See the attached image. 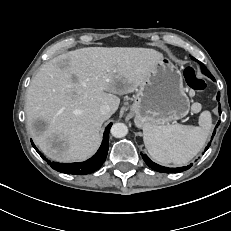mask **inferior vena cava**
I'll return each instance as SVG.
<instances>
[{
    "label": "inferior vena cava",
    "mask_w": 231,
    "mask_h": 231,
    "mask_svg": "<svg viewBox=\"0 0 231 231\" xmlns=\"http://www.w3.org/2000/svg\"><path fill=\"white\" fill-rule=\"evenodd\" d=\"M100 113L104 118L108 119L112 115V111H111L110 106L109 105H102L100 107Z\"/></svg>",
    "instance_id": "obj_1"
}]
</instances>
